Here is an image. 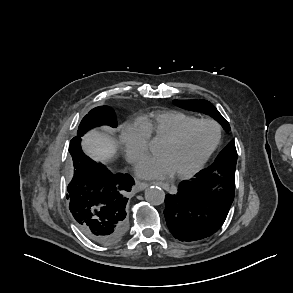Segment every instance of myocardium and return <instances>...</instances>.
Listing matches in <instances>:
<instances>
[{"instance_id":"1","label":"myocardium","mask_w":293,"mask_h":293,"mask_svg":"<svg viewBox=\"0 0 293 293\" xmlns=\"http://www.w3.org/2000/svg\"><path fill=\"white\" fill-rule=\"evenodd\" d=\"M201 123L210 124V125L214 126L215 129H216V137H215L213 143L211 144V146L205 152V154L200 158V160L191 169H189V170H187L185 172H177V173H175V175L178 178H181V179L191 178L195 174H197L204 167V165L207 163V161L210 159V157L216 151V149L218 148V146H219V144L221 142L222 128L215 120H212V119H209V118H199V119H195V120L185 124L177 132H175L173 135L163 139V141L165 143H169V144L176 143V142H178L179 140H181L183 138L185 133L190 128H192L194 125L201 124Z\"/></svg>"}]
</instances>
